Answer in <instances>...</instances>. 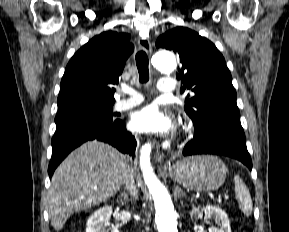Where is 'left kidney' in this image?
I'll return each mask as SVG.
<instances>
[{"label": "left kidney", "instance_id": "5707ae66", "mask_svg": "<svg viewBox=\"0 0 289 232\" xmlns=\"http://www.w3.org/2000/svg\"><path fill=\"white\" fill-rule=\"evenodd\" d=\"M200 207H193L190 213L191 216L196 215L199 212ZM201 211H204L205 217L211 218L214 217L218 227H213L212 232H231L230 221L227 214L220 207L215 205H207L206 207L201 208ZM196 232H205L201 229H198Z\"/></svg>", "mask_w": 289, "mask_h": 232}]
</instances>
